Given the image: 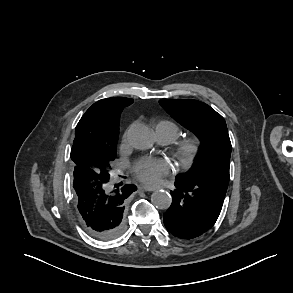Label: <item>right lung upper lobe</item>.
<instances>
[{"mask_svg": "<svg viewBox=\"0 0 293 293\" xmlns=\"http://www.w3.org/2000/svg\"><path fill=\"white\" fill-rule=\"evenodd\" d=\"M133 99L113 97L94 103L82 116L75 130L71 159L75 167L97 169L92 158L107 149L116 148L120 114Z\"/></svg>", "mask_w": 293, "mask_h": 293, "instance_id": "1", "label": "right lung upper lobe"}]
</instances>
